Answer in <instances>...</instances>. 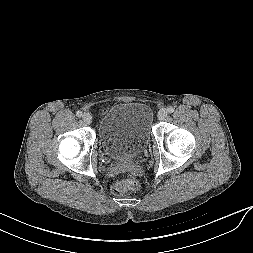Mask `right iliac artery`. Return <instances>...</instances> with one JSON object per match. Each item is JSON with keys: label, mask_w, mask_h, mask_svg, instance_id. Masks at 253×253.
I'll use <instances>...</instances> for the list:
<instances>
[{"label": "right iliac artery", "mask_w": 253, "mask_h": 253, "mask_svg": "<svg viewBox=\"0 0 253 253\" xmlns=\"http://www.w3.org/2000/svg\"><path fill=\"white\" fill-rule=\"evenodd\" d=\"M76 116H77V117H82V112H81V111H77V112H76Z\"/></svg>", "instance_id": "obj_1"}]
</instances>
